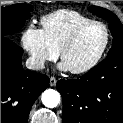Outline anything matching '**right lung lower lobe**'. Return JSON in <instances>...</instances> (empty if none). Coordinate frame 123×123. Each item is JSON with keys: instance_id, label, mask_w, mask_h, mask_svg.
Instances as JSON below:
<instances>
[{"instance_id": "obj_1", "label": "right lung lower lobe", "mask_w": 123, "mask_h": 123, "mask_svg": "<svg viewBox=\"0 0 123 123\" xmlns=\"http://www.w3.org/2000/svg\"><path fill=\"white\" fill-rule=\"evenodd\" d=\"M23 50L8 38H1V123H27L30 109L49 86L46 75L24 70Z\"/></svg>"}]
</instances>
